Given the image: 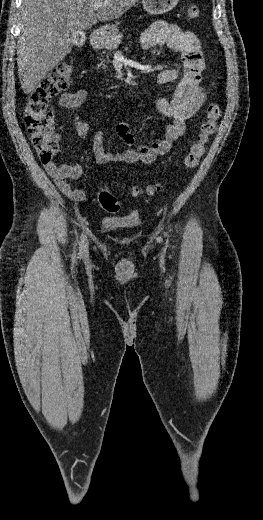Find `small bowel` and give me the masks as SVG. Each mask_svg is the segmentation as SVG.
<instances>
[{
  "mask_svg": "<svg viewBox=\"0 0 263 520\" xmlns=\"http://www.w3.org/2000/svg\"><path fill=\"white\" fill-rule=\"evenodd\" d=\"M144 50H152L159 46H167L178 51L183 60L182 76L169 97L158 96L155 104L158 111L171 119L163 137L151 144L137 145L128 122H119L115 132L128 147L122 152L111 153L104 147V133L98 131L93 137L92 147L97 163H144L151 164L158 156L166 154L172 144L186 131V122L193 117L206 100L204 88L201 86L202 72L205 68L204 55L196 35L185 31L177 25L157 21L147 28L141 36ZM180 74L178 68L161 71L157 77V85L164 86L175 81ZM88 97L85 89L65 92L59 98V106L66 110H74L83 105ZM76 134L84 139L88 133V124L78 115H73ZM47 173L54 180L60 191L73 201L87 199L84 189L72 187L70 180L82 175V166L78 162L44 164Z\"/></svg>",
  "mask_w": 263,
  "mask_h": 520,
  "instance_id": "small-bowel-1",
  "label": "small bowel"
}]
</instances>
